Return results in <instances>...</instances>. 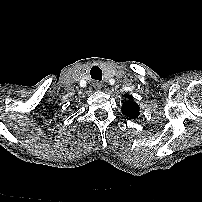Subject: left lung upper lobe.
Returning a JSON list of instances; mask_svg holds the SVG:
<instances>
[{
	"label": "left lung upper lobe",
	"mask_w": 202,
	"mask_h": 202,
	"mask_svg": "<svg viewBox=\"0 0 202 202\" xmlns=\"http://www.w3.org/2000/svg\"><path fill=\"white\" fill-rule=\"evenodd\" d=\"M128 100L122 105V113L131 119L138 118L139 105L133 101V96L124 95Z\"/></svg>",
	"instance_id": "obj_1"
}]
</instances>
